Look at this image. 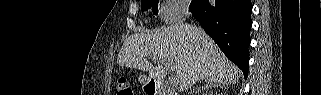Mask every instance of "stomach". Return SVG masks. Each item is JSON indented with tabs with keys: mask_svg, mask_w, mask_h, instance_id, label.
<instances>
[{
	"mask_svg": "<svg viewBox=\"0 0 321 95\" xmlns=\"http://www.w3.org/2000/svg\"><path fill=\"white\" fill-rule=\"evenodd\" d=\"M139 82H140L142 88H144V87H146V86L148 85L149 79L146 78V77H144V76H141V77L139 78Z\"/></svg>",
	"mask_w": 321,
	"mask_h": 95,
	"instance_id": "obj_1",
	"label": "stomach"
}]
</instances>
